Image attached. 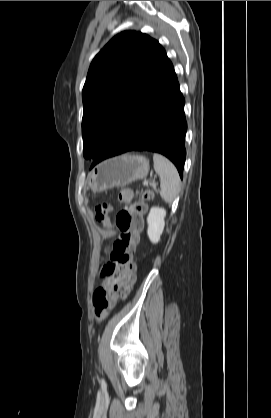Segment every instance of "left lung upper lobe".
Listing matches in <instances>:
<instances>
[{"mask_svg":"<svg viewBox=\"0 0 271 418\" xmlns=\"http://www.w3.org/2000/svg\"><path fill=\"white\" fill-rule=\"evenodd\" d=\"M168 61L158 41L136 31L118 34L95 56L82 91L86 159L99 155Z\"/></svg>","mask_w":271,"mask_h":418,"instance_id":"5c2ea615","label":"left lung upper lobe"}]
</instances>
